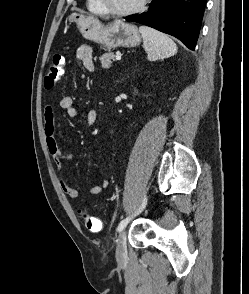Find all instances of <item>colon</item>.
Listing matches in <instances>:
<instances>
[{
    "label": "colon",
    "instance_id": "colon-1",
    "mask_svg": "<svg viewBox=\"0 0 249 294\" xmlns=\"http://www.w3.org/2000/svg\"><path fill=\"white\" fill-rule=\"evenodd\" d=\"M65 67V57L62 52H57L54 54L46 77H45V87L50 89L57 85L63 76ZM83 223L87 230L91 232H99L102 229V222L97 217L91 216L88 213H82Z\"/></svg>",
    "mask_w": 249,
    "mask_h": 294
}]
</instances>
